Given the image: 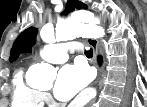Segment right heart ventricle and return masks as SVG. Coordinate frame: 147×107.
Instances as JSON below:
<instances>
[{
	"mask_svg": "<svg viewBox=\"0 0 147 107\" xmlns=\"http://www.w3.org/2000/svg\"><path fill=\"white\" fill-rule=\"evenodd\" d=\"M11 98L13 107H43L45 103L43 93L27 83L22 69L13 76Z\"/></svg>",
	"mask_w": 147,
	"mask_h": 107,
	"instance_id": "obj_1",
	"label": "right heart ventricle"
}]
</instances>
